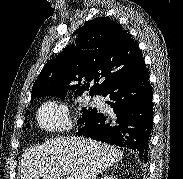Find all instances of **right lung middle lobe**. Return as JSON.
<instances>
[{
  "label": "right lung middle lobe",
  "instance_id": "obj_1",
  "mask_svg": "<svg viewBox=\"0 0 183 179\" xmlns=\"http://www.w3.org/2000/svg\"><path fill=\"white\" fill-rule=\"evenodd\" d=\"M90 95L92 96L93 94H90ZM58 97H64V96H58ZM81 112H82V116L78 119V124H82L86 120H88L92 115H94L97 112V109L93 107H85V108H82Z\"/></svg>",
  "mask_w": 183,
  "mask_h": 179
}]
</instances>
